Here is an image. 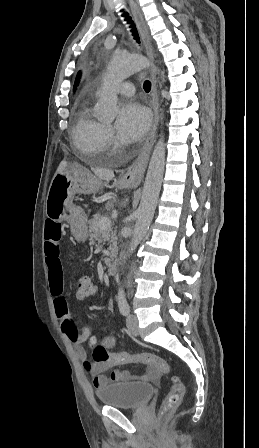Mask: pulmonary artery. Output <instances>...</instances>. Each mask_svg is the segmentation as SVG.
Returning a JSON list of instances; mask_svg holds the SVG:
<instances>
[{"label":"pulmonary artery","mask_w":259,"mask_h":448,"mask_svg":"<svg viewBox=\"0 0 259 448\" xmlns=\"http://www.w3.org/2000/svg\"><path fill=\"white\" fill-rule=\"evenodd\" d=\"M140 55L138 53L135 54H127L125 59L117 64L118 72H119V81H123L125 78L130 76L131 74L137 72L139 67L137 64L130 61L132 58H139ZM115 92L123 95H132L134 93L133 89H128L116 85L114 88Z\"/></svg>","instance_id":"pulmonary-artery-1"}]
</instances>
